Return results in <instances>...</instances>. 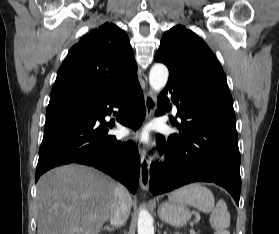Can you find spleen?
I'll return each instance as SVG.
<instances>
[{
	"label": "spleen",
	"instance_id": "3e777b00",
	"mask_svg": "<svg viewBox=\"0 0 279 234\" xmlns=\"http://www.w3.org/2000/svg\"><path fill=\"white\" fill-rule=\"evenodd\" d=\"M170 201L191 205L205 213H211L210 225L214 234H230V213L223 199L215 205L213 193L199 183H193L174 191L169 196Z\"/></svg>",
	"mask_w": 279,
	"mask_h": 234
}]
</instances>
